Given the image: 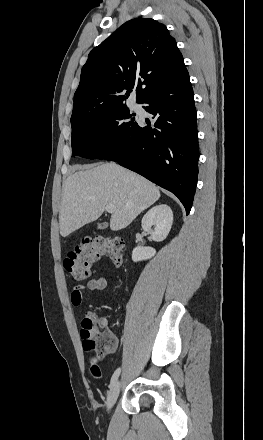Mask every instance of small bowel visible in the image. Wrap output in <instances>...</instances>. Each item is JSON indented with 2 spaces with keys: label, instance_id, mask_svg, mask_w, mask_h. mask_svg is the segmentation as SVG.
I'll return each mask as SVG.
<instances>
[{
  "label": "small bowel",
  "instance_id": "c3829d8e",
  "mask_svg": "<svg viewBox=\"0 0 263 440\" xmlns=\"http://www.w3.org/2000/svg\"><path fill=\"white\" fill-rule=\"evenodd\" d=\"M108 286V278L101 276V277H93L87 280L84 284L76 285L72 288L71 291V303L73 306H80L82 305L84 299H85V293L86 292H93V291H102L106 289ZM100 324L103 326L106 324L105 319L100 320ZM118 341L114 337L113 342L108 349V352H114L117 349Z\"/></svg>",
  "mask_w": 263,
  "mask_h": 440
}]
</instances>
